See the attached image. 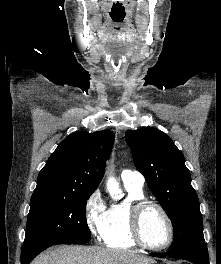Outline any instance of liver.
Instances as JSON below:
<instances>
[{
	"instance_id": "liver-1",
	"label": "liver",
	"mask_w": 221,
	"mask_h": 264,
	"mask_svg": "<svg viewBox=\"0 0 221 264\" xmlns=\"http://www.w3.org/2000/svg\"><path fill=\"white\" fill-rule=\"evenodd\" d=\"M152 259L133 251L98 246H61L49 249L31 264H149Z\"/></svg>"
}]
</instances>
